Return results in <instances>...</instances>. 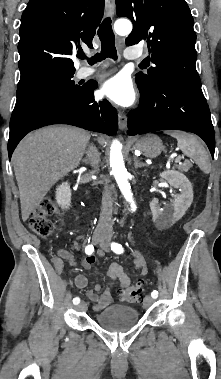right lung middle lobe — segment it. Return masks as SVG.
Here are the masks:
<instances>
[{
    "label": "right lung middle lobe",
    "mask_w": 221,
    "mask_h": 379,
    "mask_svg": "<svg viewBox=\"0 0 221 379\" xmlns=\"http://www.w3.org/2000/svg\"><path fill=\"white\" fill-rule=\"evenodd\" d=\"M75 70H55L41 73L18 83L17 100L10 125L24 118L36 107L68 98L83 86L72 80Z\"/></svg>",
    "instance_id": "obj_1"
}]
</instances>
